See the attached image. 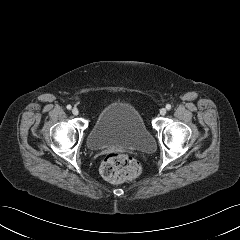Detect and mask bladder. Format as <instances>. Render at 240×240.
<instances>
[{
    "mask_svg": "<svg viewBox=\"0 0 240 240\" xmlns=\"http://www.w3.org/2000/svg\"><path fill=\"white\" fill-rule=\"evenodd\" d=\"M87 145L91 150L118 147L151 152L155 142L139 111L128 103L115 102L98 114L88 134Z\"/></svg>",
    "mask_w": 240,
    "mask_h": 240,
    "instance_id": "obj_1",
    "label": "bladder"
}]
</instances>
